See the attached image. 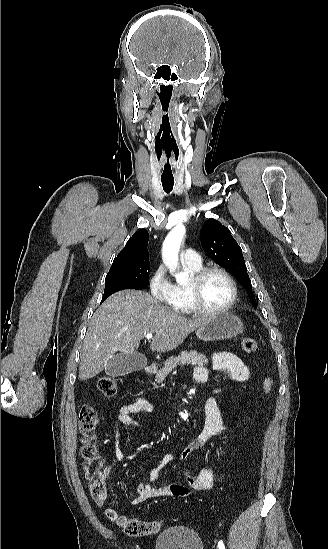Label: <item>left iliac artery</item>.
Segmentation results:
<instances>
[{
	"instance_id": "obj_1",
	"label": "left iliac artery",
	"mask_w": 328,
	"mask_h": 549,
	"mask_svg": "<svg viewBox=\"0 0 328 549\" xmlns=\"http://www.w3.org/2000/svg\"><path fill=\"white\" fill-rule=\"evenodd\" d=\"M218 547H219V549H225V546H224L222 541L218 542Z\"/></svg>"
}]
</instances>
